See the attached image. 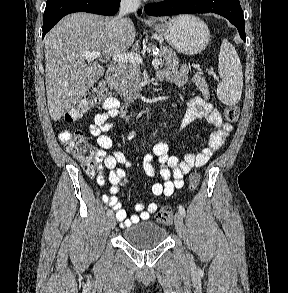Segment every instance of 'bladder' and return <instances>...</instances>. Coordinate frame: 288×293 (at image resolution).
<instances>
[{
    "mask_svg": "<svg viewBox=\"0 0 288 293\" xmlns=\"http://www.w3.org/2000/svg\"><path fill=\"white\" fill-rule=\"evenodd\" d=\"M167 237V230L152 221L139 222L127 227L123 232L124 240L130 245L147 249L160 245Z\"/></svg>",
    "mask_w": 288,
    "mask_h": 293,
    "instance_id": "1",
    "label": "bladder"
}]
</instances>
